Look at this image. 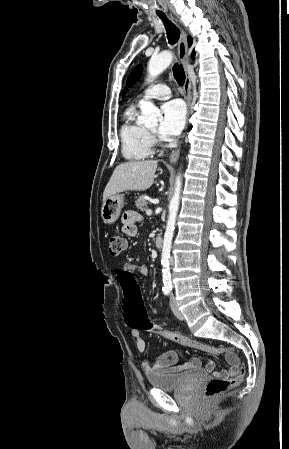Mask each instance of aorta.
Here are the masks:
<instances>
[{
    "instance_id": "aorta-1",
    "label": "aorta",
    "mask_w": 289,
    "mask_h": 449,
    "mask_svg": "<svg viewBox=\"0 0 289 449\" xmlns=\"http://www.w3.org/2000/svg\"><path fill=\"white\" fill-rule=\"evenodd\" d=\"M173 54L170 51H163L158 55L152 56L148 63V77L154 79L162 73L172 62ZM141 117L140 121L145 125H156L160 117L159 109L150 101L142 102L140 105ZM182 181L181 176L178 175L175 181L174 195L169 204V216L167 220L166 231L163 240L161 265H162V279L164 287L170 288L171 273H170V252L172 239L175 229L176 217L180 204Z\"/></svg>"
}]
</instances>
